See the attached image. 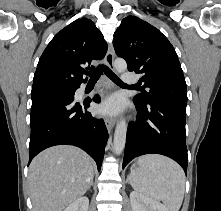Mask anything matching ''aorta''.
Listing matches in <instances>:
<instances>
[{"mask_svg":"<svg viewBox=\"0 0 221 211\" xmlns=\"http://www.w3.org/2000/svg\"><path fill=\"white\" fill-rule=\"evenodd\" d=\"M114 67L118 73H123L127 69V63L124 59H116ZM127 125L124 119H120L117 123L113 147L115 154L119 155L122 153L126 143Z\"/></svg>","mask_w":221,"mask_h":211,"instance_id":"762f6f07","label":"aorta"}]
</instances>
